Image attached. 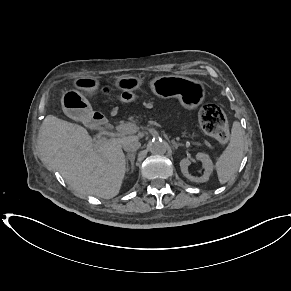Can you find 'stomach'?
Wrapping results in <instances>:
<instances>
[{
	"label": "stomach",
	"mask_w": 291,
	"mask_h": 291,
	"mask_svg": "<svg viewBox=\"0 0 291 291\" xmlns=\"http://www.w3.org/2000/svg\"><path fill=\"white\" fill-rule=\"evenodd\" d=\"M142 83V79L128 75L118 77L114 85L122 90H135ZM75 86L93 92L98 88L99 82L94 77H83L75 81ZM150 86L155 95L162 98L176 97L181 105L189 110L196 109L205 99L203 84L199 80L184 76H159L150 82ZM61 104L66 115L78 120L86 118L92 111L88 100L77 90H69L63 93Z\"/></svg>",
	"instance_id": "stomach-1"
}]
</instances>
